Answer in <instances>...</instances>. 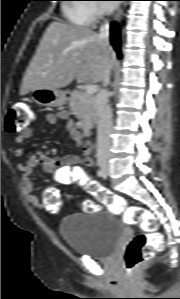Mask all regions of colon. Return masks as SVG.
Segmentation results:
<instances>
[{
    "label": "colon",
    "instance_id": "1",
    "mask_svg": "<svg viewBox=\"0 0 180 299\" xmlns=\"http://www.w3.org/2000/svg\"><path fill=\"white\" fill-rule=\"evenodd\" d=\"M34 120L33 109L24 103L13 104L7 112L5 129L9 133H15L26 128ZM73 181V178L70 182ZM83 188L106 206L112 212L122 214L128 225H137L142 232L134 235L123 254V261L128 269H133L155 252L164 249L163 236L158 232V221L153 213L140 206H129L124 198L116 195L107 188L101 186L94 180L83 178ZM61 198L59 191L49 187L43 194V205L47 212L57 213L61 209ZM84 212H94L99 209L97 203L86 199L81 203Z\"/></svg>",
    "mask_w": 180,
    "mask_h": 299
}]
</instances>
